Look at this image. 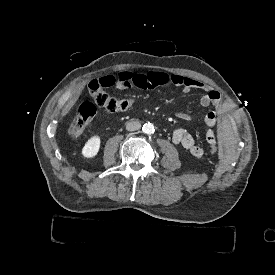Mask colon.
I'll return each instance as SVG.
<instances>
[{
	"instance_id": "5ec220e1",
	"label": "colon",
	"mask_w": 275,
	"mask_h": 275,
	"mask_svg": "<svg viewBox=\"0 0 275 275\" xmlns=\"http://www.w3.org/2000/svg\"><path fill=\"white\" fill-rule=\"evenodd\" d=\"M86 85L88 88H92L91 93L94 100H100L101 108L110 112H118L128 110L132 106V101L129 99L115 98L103 92L104 86L99 83L97 77H88ZM93 105L94 102L86 101L79 106L75 119L69 127V133L72 136L82 135L86 131L89 123L96 115L97 110L93 108ZM208 153L212 157L219 156V150L214 145L209 147Z\"/></svg>"
}]
</instances>
